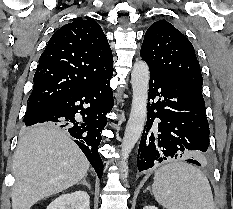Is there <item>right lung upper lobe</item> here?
I'll use <instances>...</instances> for the list:
<instances>
[{
  "mask_svg": "<svg viewBox=\"0 0 233 209\" xmlns=\"http://www.w3.org/2000/svg\"><path fill=\"white\" fill-rule=\"evenodd\" d=\"M111 74L112 52L101 27L89 17L74 20L50 38L40 56L27 103L46 105Z\"/></svg>",
  "mask_w": 233,
  "mask_h": 209,
  "instance_id": "right-lung-upper-lobe-1",
  "label": "right lung upper lobe"
}]
</instances>
